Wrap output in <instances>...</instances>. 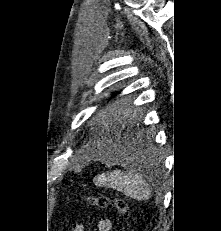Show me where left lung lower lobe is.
Here are the masks:
<instances>
[{"instance_id":"0a47b994","label":"left lung lower lobe","mask_w":221,"mask_h":231,"mask_svg":"<svg viewBox=\"0 0 221 231\" xmlns=\"http://www.w3.org/2000/svg\"><path fill=\"white\" fill-rule=\"evenodd\" d=\"M122 121L116 138L118 141H121L123 145L121 150L124 154L133 153L134 150L138 148V144H136L137 126L128 122L127 119ZM145 148L148 147L145 145Z\"/></svg>"}]
</instances>
